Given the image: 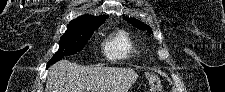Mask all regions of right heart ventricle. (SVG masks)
Listing matches in <instances>:
<instances>
[{
	"mask_svg": "<svg viewBox=\"0 0 225 92\" xmlns=\"http://www.w3.org/2000/svg\"><path fill=\"white\" fill-rule=\"evenodd\" d=\"M103 53L111 61L133 59L140 55L133 39L123 30L116 31L106 39L103 43Z\"/></svg>",
	"mask_w": 225,
	"mask_h": 92,
	"instance_id": "1",
	"label": "right heart ventricle"
}]
</instances>
